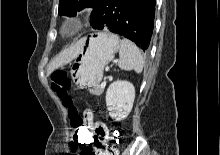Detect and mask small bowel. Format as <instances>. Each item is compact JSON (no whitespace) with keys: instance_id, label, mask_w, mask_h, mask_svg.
Here are the masks:
<instances>
[{"instance_id":"obj_1","label":"small bowel","mask_w":220,"mask_h":155,"mask_svg":"<svg viewBox=\"0 0 220 155\" xmlns=\"http://www.w3.org/2000/svg\"><path fill=\"white\" fill-rule=\"evenodd\" d=\"M84 118H85V121L86 123H89V129H92V135H94V138H95V134H96V129L97 127L102 123V122H95L94 121V118H95V115L90 111H86L85 114H84ZM75 135V134H74ZM94 141V140H93ZM91 144H87L86 147L90 146Z\"/></svg>"}]
</instances>
